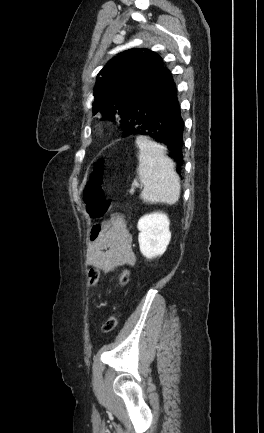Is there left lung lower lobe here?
<instances>
[{
  "instance_id": "1",
  "label": "left lung lower lobe",
  "mask_w": 264,
  "mask_h": 433,
  "mask_svg": "<svg viewBox=\"0 0 264 433\" xmlns=\"http://www.w3.org/2000/svg\"><path fill=\"white\" fill-rule=\"evenodd\" d=\"M125 133L151 137L170 151L181 173L184 122L177 89L166 68L137 97L121 120Z\"/></svg>"
}]
</instances>
